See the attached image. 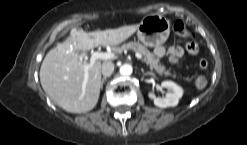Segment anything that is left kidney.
Segmentation results:
<instances>
[{
    "label": "left kidney",
    "instance_id": "5707ae66",
    "mask_svg": "<svg viewBox=\"0 0 247 145\" xmlns=\"http://www.w3.org/2000/svg\"><path fill=\"white\" fill-rule=\"evenodd\" d=\"M163 88H167L169 92L165 97H156L154 93L148 94L149 98L153 100L154 104L160 108L174 107L178 104L179 99L183 95V89L172 81H163L161 83Z\"/></svg>",
    "mask_w": 247,
    "mask_h": 145
}]
</instances>
